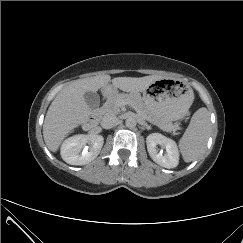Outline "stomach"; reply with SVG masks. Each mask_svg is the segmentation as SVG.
Returning <instances> with one entry per match:
<instances>
[{"mask_svg": "<svg viewBox=\"0 0 243 243\" xmlns=\"http://www.w3.org/2000/svg\"><path fill=\"white\" fill-rule=\"evenodd\" d=\"M142 100L150 113L171 123L182 119L188 113L194 93L188 85L179 81L159 80L143 92Z\"/></svg>", "mask_w": 243, "mask_h": 243, "instance_id": "obj_1", "label": "stomach"}]
</instances>
